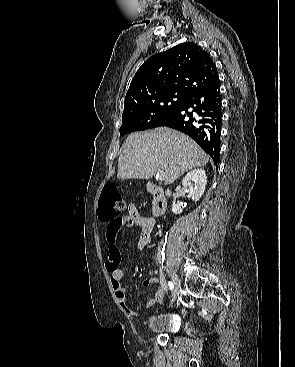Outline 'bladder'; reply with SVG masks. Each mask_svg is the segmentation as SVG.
<instances>
[{
	"label": "bladder",
	"instance_id": "1",
	"mask_svg": "<svg viewBox=\"0 0 295 367\" xmlns=\"http://www.w3.org/2000/svg\"><path fill=\"white\" fill-rule=\"evenodd\" d=\"M176 326L174 316L163 315L160 312H153L148 319V329L152 333L171 332Z\"/></svg>",
	"mask_w": 295,
	"mask_h": 367
}]
</instances>
